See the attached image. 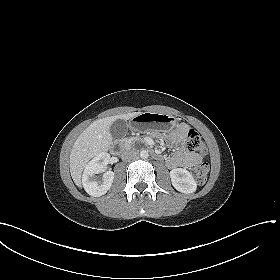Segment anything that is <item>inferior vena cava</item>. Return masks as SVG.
<instances>
[{
	"label": "inferior vena cava",
	"mask_w": 280,
	"mask_h": 280,
	"mask_svg": "<svg viewBox=\"0 0 280 280\" xmlns=\"http://www.w3.org/2000/svg\"><path fill=\"white\" fill-rule=\"evenodd\" d=\"M121 158L123 161H132L138 158V151L135 149H128L125 150L122 155Z\"/></svg>",
	"instance_id": "602c4592"
}]
</instances>
